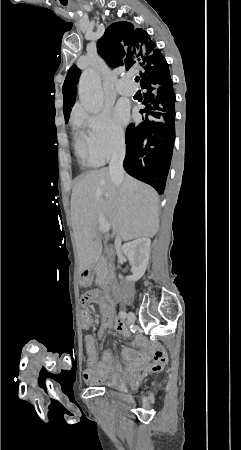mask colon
<instances>
[{
    "instance_id": "colon-1",
    "label": "colon",
    "mask_w": 241,
    "mask_h": 450,
    "mask_svg": "<svg viewBox=\"0 0 241 450\" xmlns=\"http://www.w3.org/2000/svg\"><path fill=\"white\" fill-rule=\"evenodd\" d=\"M79 324L86 328L93 327V314L90 313H80L79 314Z\"/></svg>"
}]
</instances>
